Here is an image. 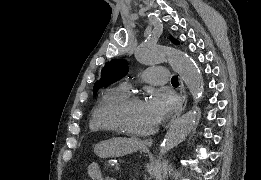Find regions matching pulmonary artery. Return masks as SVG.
I'll use <instances>...</instances> for the list:
<instances>
[{"label":"pulmonary artery","mask_w":261,"mask_h":180,"mask_svg":"<svg viewBox=\"0 0 261 180\" xmlns=\"http://www.w3.org/2000/svg\"><path fill=\"white\" fill-rule=\"evenodd\" d=\"M169 67H158V69H146L142 74L141 77L145 80L154 83H166V78L168 77ZM124 86L127 87L128 84L124 83Z\"/></svg>","instance_id":"1"}]
</instances>
